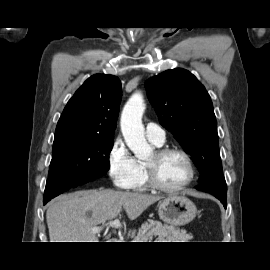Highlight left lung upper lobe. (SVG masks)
Wrapping results in <instances>:
<instances>
[{
	"label": "left lung upper lobe",
	"instance_id": "1",
	"mask_svg": "<svg viewBox=\"0 0 270 270\" xmlns=\"http://www.w3.org/2000/svg\"><path fill=\"white\" fill-rule=\"evenodd\" d=\"M145 84L160 124L192 156L200 181L223 174L217 121L205 87L181 68L164 71Z\"/></svg>",
	"mask_w": 270,
	"mask_h": 270
}]
</instances>
